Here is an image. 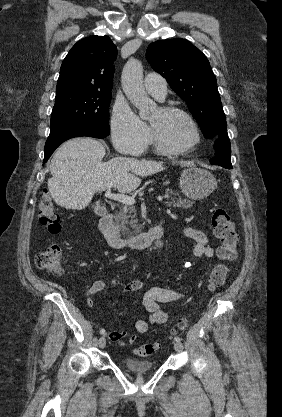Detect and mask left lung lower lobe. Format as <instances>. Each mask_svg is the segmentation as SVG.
I'll list each match as a JSON object with an SVG mask.
<instances>
[{
	"instance_id": "0a47b994",
	"label": "left lung lower lobe",
	"mask_w": 282,
	"mask_h": 417,
	"mask_svg": "<svg viewBox=\"0 0 282 417\" xmlns=\"http://www.w3.org/2000/svg\"><path fill=\"white\" fill-rule=\"evenodd\" d=\"M215 157L210 160L212 164L220 165L226 169H232L231 164V145L228 134L221 133L214 139Z\"/></svg>"
}]
</instances>
